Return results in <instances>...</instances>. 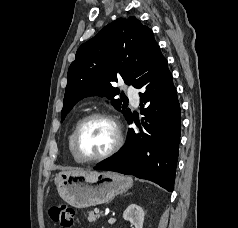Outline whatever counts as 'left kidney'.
Masks as SVG:
<instances>
[{
  "mask_svg": "<svg viewBox=\"0 0 238 228\" xmlns=\"http://www.w3.org/2000/svg\"><path fill=\"white\" fill-rule=\"evenodd\" d=\"M123 218L134 225L135 228H143L144 211L142 207L136 204H131L126 208L123 213Z\"/></svg>",
  "mask_w": 238,
  "mask_h": 228,
  "instance_id": "obj_1",
  "label": "left kidney"
}]
</instances>
